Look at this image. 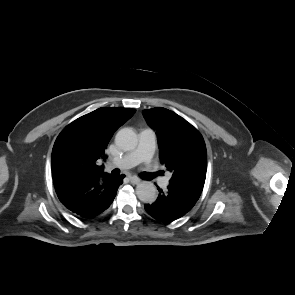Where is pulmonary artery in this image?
<instances>
[{
  "label": "pulmonary artery",
  "mask_w": 295,
  "mask_h": 295,
  "mask_svg": "<svg viewBox=\"0 0 295 295\" xmlns=\"http://www.w3.org/2000/svg\"><path fill=\"white\" fill-rule=\"evenodd\" d=\"M155 133L151 129H143L139 133V142L138 146L128 154L123 157L112 161V165L127 169L134 167L140 162H145L148 165L149 170L153 173L155 178H157V174L151 167V160L155 150ZM158 182L161 186H166L168 184L167 177H159Z\"/></svg>",
  "instance_id": "1"
}]
</instances>
